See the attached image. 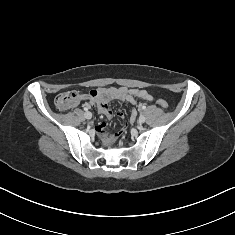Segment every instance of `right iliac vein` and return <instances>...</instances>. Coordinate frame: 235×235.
<instances>
[{
	"mask_svg": "<svg viewBox=\"0 0 235 235\" xmlns=\"http://www.w3.org/2000/svg\"><path fill=\"white\" fill-rule=\"evenodd\" d=\"M85 118L86 119H91L92 118V114L90 112H86L85 113Z\"/></svg>",
	"mask_w": 235,
	"mask_h": 235,
	"instance_id": "63e3f726",
	"label": "right iliac vein"
}]
</instances>
